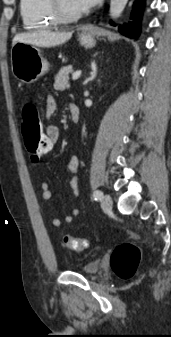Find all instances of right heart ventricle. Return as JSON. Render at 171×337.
Wrapping results in <instances>:
<instances>
[{
    "label": "right heart ventricle",
    "mask_w": 171,
    "mask_h": 337,
    "mask_svg": "<svg viewBox=\"0 0 171 337\" xmlns=\"http://www.w3.org/2000/svg\"><path fill=\"white\" fill-rule=\"evenodd\" d=\"M20 14L24 27L30 30L49 29L60 23L49 0H20Z\"/></svg>",
    "instance_id": "e07e8e85"
}]
</instances>
